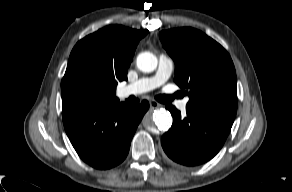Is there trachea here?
<instances>
[{"label":"trachea","instance_id":"1","mask_svg":"<svg viewBox=\"0 0 292 192\" xmlns=\"http://www.w3.org/2000/svg\"><path fill=\"white\" fill-rule=\"evenodd\" d=\"M175 97H178V95H158L155 99L161 103H170Z\"/></svg>","mask_w":292,"mask_h":192}]
</instances>
